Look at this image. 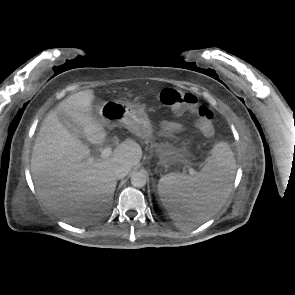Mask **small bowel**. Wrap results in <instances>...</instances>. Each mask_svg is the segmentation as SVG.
Masks as SVG:
<instances>
[{"label":"small bowel","instance_id":"1","mask_svg":"<svg viewBox=\"0 0 295 295\" xmlns=\"http://www.w3.org/2000/svg\"><path fill=\"white\" fill-rule=\"evenodd\" d=\"M164 129L171 133V132H175V131H179L182 129V125L179 123H175V122H166L164 123Z\"/></svg>","mask_w":295,"mask_h":295}]
</instances>
